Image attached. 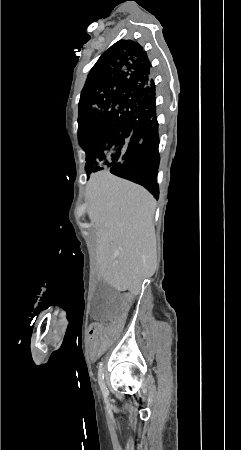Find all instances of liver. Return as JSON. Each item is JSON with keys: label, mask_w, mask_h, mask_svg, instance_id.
<instances>
[{"label": "liver", "mask_w": 241, "mask_h": 450, "mask_svg": "<svg viewBox=\"0 0 241 450\" xmlns=\"http://www.w3.org/2000/svg\"><path fill=\"white\" fill-rule=\"evenodd\" d=\"M85 200L96 232L99 278L119 292L137 296L145 278L156 272L157 246L152 194L108 170L91 174Z\"/></svg>", "instance_id": "obj_1"}]
</instances>
